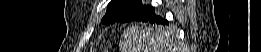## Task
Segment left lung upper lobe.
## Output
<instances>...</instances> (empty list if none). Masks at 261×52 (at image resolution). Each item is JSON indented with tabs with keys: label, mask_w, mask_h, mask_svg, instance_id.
I'll use <instances>...</instances> for the list:
<instances>
[{
	"label": "left lung upper lobe",
	"mask_w": 261,
	"mask_h": 52,
	"mask_svg": "<svg viewBox=\"0 0 261 52\" xmlns=\"http://www.w3.org/2000/svg\"><path fill=\"white\" fill-rule=\"evenodd\" d=\"M149 9L151 6L142 5L141 0H111L101 22L110 25L114 22L138 20Z\"/></svg>",
	"instance_id": "5c2ea615"
}]
</instances>
